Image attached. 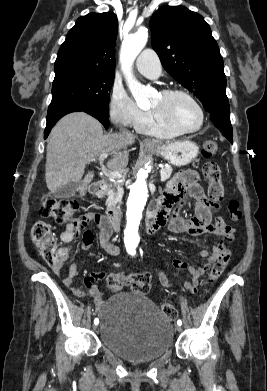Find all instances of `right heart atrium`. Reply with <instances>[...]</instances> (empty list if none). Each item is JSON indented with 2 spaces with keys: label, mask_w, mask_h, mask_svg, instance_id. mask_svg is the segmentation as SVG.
I'll return each instance as SVG.
<instances>
[{
  "label": "right heart atrium",
  "mask_w": 267,
  "mask_h": 391,
  "mask_svg": "<svg viewBox=\"0 0 267 391\" xmlns=\"http://www.w3.org/2000/svg\"><path fill=\"white\" fill-rule=\"evenodd\" d=\"M108 109L111 120L123 127L137 129L148 116L147 111L139 108L134 100L119 88L113 89Z\"/></svg>",
  "instance_id": "d8ad5b80"
}]
</instances>
